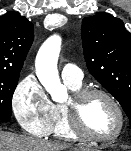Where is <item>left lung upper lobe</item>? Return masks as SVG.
Segmentation results:
<instances>
[{"instance_id":"5c2ea615","label":"left lung upper lobe","mask_w":131,"mask_h":151,"mask_svg":"<svg viewBox=\"0 0 131 151\" xmlns=\"http://www.w3.org/2000/svg\"><path fill=\"white\" fill-rule=\"evenodd\" d=\"M81 34L89 72L118 100L131 125V34L105 12L85 17Z\"/></svg>"}]
</instances>
